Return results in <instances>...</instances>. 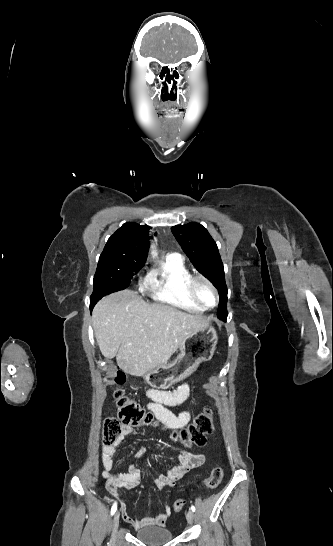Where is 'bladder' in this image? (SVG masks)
Returning <instances> with one entry per match:
<instances>
[{
	"label": "bladder",
	"instance_id": "obj_1",
	"mask_svg": "<svg viewBox=\"0 0 333 546\" xmlns=\"http://www.w3.org/2000/svg\"><path fill=\"white\" fill-rule=\"evenodd\" d=\"M136 538L150 546H161L170 542L173 538L172 532L163 527L148 526L141 528L135 533Z\"/></svg>",
	"mask_w": 333,
	"mask_h": 546
}]
</instances>
